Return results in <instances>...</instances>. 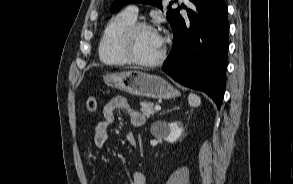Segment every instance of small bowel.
Listing matches in <instances>:
<instances>
[{
    "label": "small bowel",
    "mask_w": 293,
    "mask_h": 184,
    "mask_svg": "<svg viewBox=\"0 0 293 184\" xmlns=\"http://www.w3.org/2000/svg\"><path fill=\"white\" fill-rule=\"evenodd\" d=\"M120 110L127 113L133 126L144 124L145 116L141 112L131 107L124 97H114L104 106L102 119L95 126L94 142L97 147L103 148L107 144L109 140L108 128L115 121L116 112ZM125 139L130 145H136V138L133 133H127ZM87 175L90 176L89 170ZM130 184H146L144 174L141 172L133 173Z\"/></svg>",
    "instance_id": "1"
}]
</instances>
